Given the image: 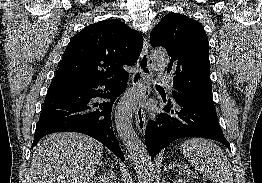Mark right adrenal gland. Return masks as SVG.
<instances>
[{"instance_id": "1", "label": "right adrenal gland", "mask_w": 262, "mask_h": 183, "mask_svg": "<svg viewBox=\"0 0 262 183\" xmlns=\"http://www.w3.org/2000/svg\"><path fill=\"white\" fill-rule=\"evenodd\" d=\"M100 164H107V163H106V162H102V161H101V163H100Z\"/></svg>"}]
</instances>
